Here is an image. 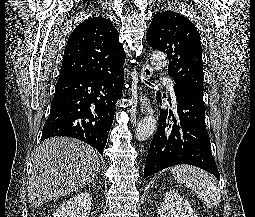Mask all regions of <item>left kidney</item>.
Segmentation results:
<instances>
[{
  "label": "left kidney",
  "instance_id": "left-kidney-1",
  "mask_svg": "<svg viewBox=\"0 0 255 217\" xmlns=\"http://www.w3.org/2000/svg\"><path fill=\"white\" fill-rule=\"evenodd\" d=\"M158 213L160 217H197L189 202L175 190L166 191Z\"/></svg>",
  "mask_w": 255,
  "mask_h": 217
}]
</instances>
